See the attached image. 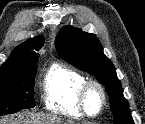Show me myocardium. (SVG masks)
<instances>
[{"label": "myocardium", "instance_id": "myocardium-1", "mask_svg": "<svg viewBox=\"0 0 145 124\" xmlns=\"http://www.w3.org/2000/svg\"><path fill=\"white\" fill-rule=\"evenodd\" d=\"M96 90L100 95V105L99 108L95 112H91L88 108V96L91 91ZM107 103V94L103 87V85L96 80L86 81L80 91H79V106L84 114L87 117H96L102 113Z\"/></svg>", "mask_w": 145, "mask_h": 124}]
</instances>
